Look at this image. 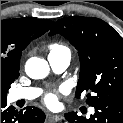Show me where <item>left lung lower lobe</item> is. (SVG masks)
<instances>
[{
	"label": "left lung lower lobe",
	"instance_id": "1",
	"mask_svg": "<svg viewBox=\"0 0 123 123\" xmlns=\"http://www.w3.org/2000/svg\"><path fill=\"white\" fill-rule=\"evenodd\" d=\"M95 113L89 119L75 112L65 114L71 123H123V101L105 100L94 106Z\"/></svg>",
	"mask_w": 123,
	"mask_h": 123
}]
</instances>
